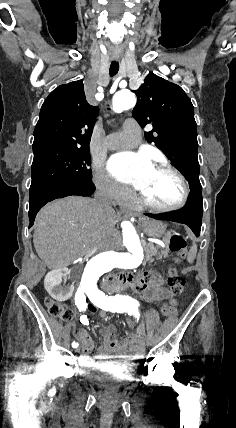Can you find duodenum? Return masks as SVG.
I'll list each match as a JSON object with an SVG mask.
<instances>
[{"label": "duodenum", "instance_id": "duodenum-1", "mask_svg": "<svg viewBox=\"0 0 236 428\" xmlns=\"http://www.w3.org/2000/svg\"><path fill=\"white\" fill-rule=\"evenodd\" d=\"M140 277L131 272L112 275L103 281L102 289L109 297L122 295L125 290L133 288Z\"/></svg>", "mask_w": 236, "mask_h": 428}]
</instances>
